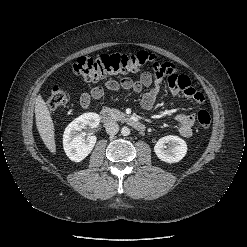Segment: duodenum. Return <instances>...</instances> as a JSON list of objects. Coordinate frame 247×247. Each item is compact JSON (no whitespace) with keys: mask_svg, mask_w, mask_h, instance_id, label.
Listing matches in <instances>:
<instances>
[{"mask_svg":"<svg viewBox=\"0 0 247 247\" xmlns=\"http://www.w3.org/2000/svg\"><path fill=\"white\" fill-rule=\"evenodd\" d=\"M100 119L104 123H111L115 120V116L110 109L106 108L101 111ZM124 121L138 131L145 130V125L137 119L127 117L124 119Z\"/></svg>","mask_w":247,"mask_h":247,"instance_id":"410a0bca","label":"duodenum"}]
</instances>
